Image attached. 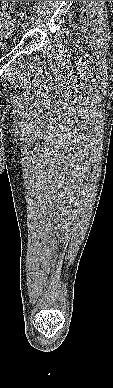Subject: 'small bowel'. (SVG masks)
I'll use <instances>...</instances> for the list:
<instances>
[{"instance_id":"obj_1","label":"small bowel","mask_w":113,"mask_h":388,"mask_svg":"<svg viewBox=\"0 0 113 388\" xmlns=\"http://www.w3.org/2000/svg\"><path fill=\"white\" fill-rule=\"evenodd\" d=\"M2 2L4 3V5L0 4V21L7 23L9 22V17L5 13V9L7 8V1H2Z\"/></svg>"}]
</instances>
